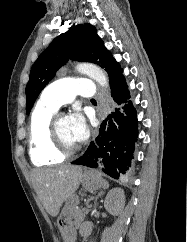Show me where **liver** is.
<instances>
[{"mask_svg":"<svg viewBox=\"0 0 187 242\" xmlns=\"http://www.w3.org/2000/svg\"><path fill=\"white\" fill-rule=\"evenodd\" d=\"M81 177L82 167L77 165L37 169L32 173L35 191L49 215L59 214L63 202L78 189Z\"/></svg>","mask_w":187,"mask_h":242,"instance_id":"1","label":"liver"}]
</instances>
